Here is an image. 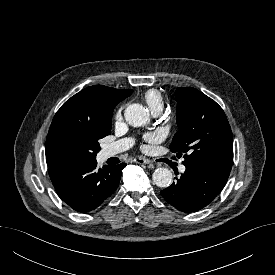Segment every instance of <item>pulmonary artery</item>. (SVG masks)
I'll use <instances>...</instances> for the list:
<instances>
[{"label": "pulmonary artery", "mask_w": 275, "mask_h": 275, "mask_svg": "<svg viewBox=\"0 0 275 275\" xmlns=\"http://www.w3.org/2000/svg\"><path fill=\"white\" fill-rule=\"evenodd\" d=\"M151 112L153 115L158 116L161 114L162 108L161 107L153 108L151 110ZM132 143L133 142L131 139H122L120 141H117V142L110 144L104 148V155H105V157L115 156V155L127 150L128 148H130ZM179 170H180V172H184L185 166H180Z\"/></svg>", "instance_id": "pulmonary-artery-1"}]
</instances>
